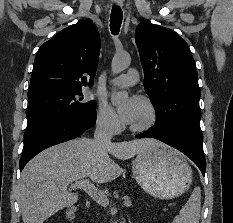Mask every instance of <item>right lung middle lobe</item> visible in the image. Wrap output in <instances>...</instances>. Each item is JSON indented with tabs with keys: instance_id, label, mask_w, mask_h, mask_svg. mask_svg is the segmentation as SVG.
I'll return each instance as SVG.
<instances>
[{
	"instance_id": "right-lung-middle-lobe-1",
	"label": "right lung middle lobe",
	"mask_w": 233,
	"mask_h": 223,
	"mask_svg": "<svg viewBox=\"0 0 233 223\" xmlns=\"http://www.w3.org/2000/svg\"><path fill=\"white\" fill-rule=\"evenodd\" d=\"M28 128L25 137L84 110L94 109L85 101L81 87H57L28 94Z\"/></svg>"
}]
</instances>
